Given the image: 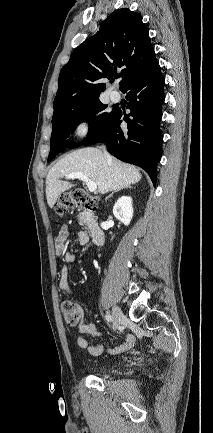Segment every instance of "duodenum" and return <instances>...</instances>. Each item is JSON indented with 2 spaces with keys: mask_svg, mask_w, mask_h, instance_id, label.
Wrapping results in <instances>:
<instances>
[{
  "mask_svg": "<svg viewBox=\"0 0 213 433\" xmlns=\"http://www.w3.org/2000/svg\"><path fill=\"white\" fill-rule=\"evenodd\" d=\"M89 213H92V210H89ZM90 236L92 238L93 243L96 246H102L104 243V232L102 228L93 220H90Z\"/></svg>",
  "mask_w": 213,
  "mask_h": 433,
  "instance_id": "410a0bca",
  "label": "duodenum"
}]
</instances>
